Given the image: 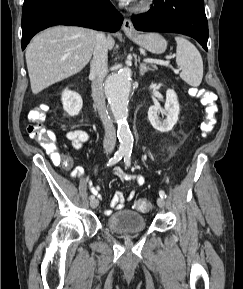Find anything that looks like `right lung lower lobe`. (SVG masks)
Segmentation results:
<instances>
[{
	"label": "right lung lower lobe",
	"mask_w": 243,
	"mask_h": 289,
	"mask_svg": "<svg viewBox=\"0 0 243 289\" xmlns=\"http://www.w3.org/2000/svg\"><path fill=\"white\" fill-rule=\"evenodd\" d=\"M122 15L109 0H25L22 12V49L39 31L72 25L116 32Z\"/></svg>",
	"instance_id": "98d812e1"
}]
</instances>
